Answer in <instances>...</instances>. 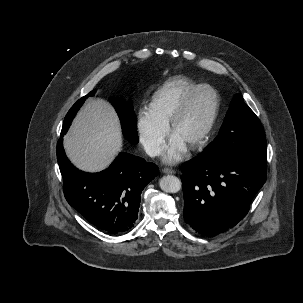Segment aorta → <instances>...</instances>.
Wrapping results in <instances>:
<instances>
[{"label":"aorta","mask_w":303,"mask_h":303,"mask_svg":"<svg viewBox=\"0 0 303 303\" xmlns=\"http://www.w3.org/2000/svg\"><path fill=\"white\" fill-rule=\"evenodd\" d=\"M160 188L167 193H176L181 189V181L173 175H167L160 179Z\"/></svg>","instance_id":"1"}]
</instances>
